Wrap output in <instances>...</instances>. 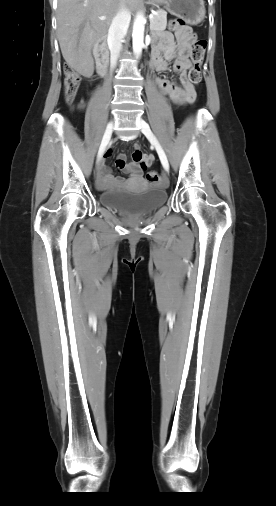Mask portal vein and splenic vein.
I'll return each instance as SVG.
<instances>
[{
  "mask_svg": "<svg viewBox=\"0 0 276 506\" xmlns=\"http://www.w3.org/2000/svg\"><path fill=\"white\" fill-rule=\"evenodd\" d=\"M153 17H154V14H151V15L149 16L150 21H151V20H153ZM99 19H100V20H105V19H106V17L101 16Z\"/></svg>",
  "mask_w": 276,
  "mask_h": 506,
  "instance_id": "portal-vein-and-splenic-vein-1",
  "label": "portal vein and splenic vein"
}]
</instances>
